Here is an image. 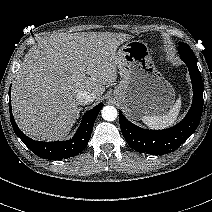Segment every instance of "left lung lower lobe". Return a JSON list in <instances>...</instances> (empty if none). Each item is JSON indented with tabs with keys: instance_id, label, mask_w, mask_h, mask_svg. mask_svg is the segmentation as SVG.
<instances>
[{
	"instance_id": "0a47b994",
	"label": "left lung lower lobe",
	"mask_w": 212,
	"mask_h": 212,
	"mask_svg": "<svg viewBox=\"0 0 212 212\" xmlns=\"http://www.w3.org/2000/svg\"><path fill=\"white\" fill-rule=\"evenodd\" d=\"M186 63L193 86L192 106L176 126L165 130H149L130 123L119 113V123L127 143L140 153L162 155L175 151L196 130L203 110V83L196 57L180 55Z\"/></svg>"
}]
</instances>
